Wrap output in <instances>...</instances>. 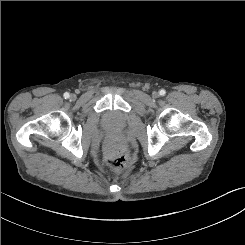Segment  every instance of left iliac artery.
Returning a JSON list of instances; mask_svg holds the SVG:
<instances>
[{
    "mask_svg": "<svg viewBox=\"0 0 245 245\" xmlns=\"http://www.w3.org/2000/svg\"><path fill=\"white\" fill-rule=\"evenodd\" d=\"M159 94H160L161 96H164V95L166 94V91H165L164 89H161V90L159 91Z\"/></svg>",
    "mask_w": 245,
    "mask_h": 245,
    "instance_id": "left-iliac-artery-1",
    "label": "left iliac artery"
}]
</instances>
